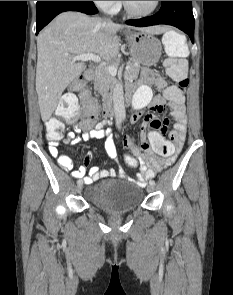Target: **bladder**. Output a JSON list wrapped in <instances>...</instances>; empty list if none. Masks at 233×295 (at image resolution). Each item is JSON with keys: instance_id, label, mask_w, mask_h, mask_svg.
Here are the masks:
<instances>
[{"instance_id": "31cf9c89", "label": "bladder", "mask_w": 233, "mask_h": 295, "mask_svg": "<svg viewBox=\"0 0 233 295\" xmlns=\"http://www.w3.org/2000/svg\"><path fill=\"white\" fill-rule=\"evenodd\" d=\"M86 195L95 205L110 213L134 210L143 199L139 186L122 180H106L92 185Z\"/></svg>"}]
</instances>
